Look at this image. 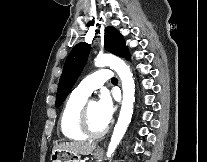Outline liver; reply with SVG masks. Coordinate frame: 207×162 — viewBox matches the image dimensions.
Instances as JSON below:
<instances>
[{
	"label": "liver",
	"mask_w": 207,
	"mask_h": 162,
	"mask_svg": "<svg viewBox=\"0 0 207 162\" xmlns=\"http://www.w3.org/2000/svg\"><path fill=\"white\" fill-rule=\"evenodd\" d=\"M96 148V144L94 143H85V142H63L54 145L53 151H66L72 153L76 156L79 155H89L91 154L94 149Z\"/></svg>",
	"instance_id": "1"
}]
</instances>
